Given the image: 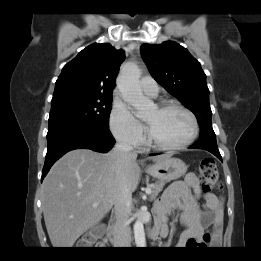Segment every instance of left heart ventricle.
I'll use <instances>...</instances> for the list:
<instances>
[{
  "instance_id": "obj_1",
  "label": "left heart ventricle",
  "mask_w": 261,
  "mask_h": 261,
  "mask_svg": "<svg viewBox=\"0 0 261 261\" xmlns=\"http://www.w3.org/2000/svg\"><path fill=\"white\" fill-rule=\"evenodd\" d=\"M144 121L155 140L163 144L181 143L192 130L190 118L178 109L160 111L155 107L144 116Z\"/></svg>"
}]
</instances>
